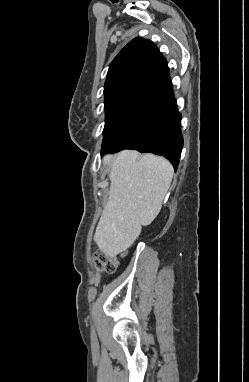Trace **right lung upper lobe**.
Returning <instances> with one entry per match:
<instances>
[{"label":"right lung upper lobe","mask_w":249,"mask_h":382,"mask_svg":"<svg viewBox=\"0 0 249 382\" xmlns=\"http://www.w3.org/2000/svg\"><path fill=\"white\" fill-rule=\"evenodd\" d=\"M171 88L168 65L161 52L152 41L135 38L109 66L104 107L128 100L153 103Z\"/></svg>","instance_id":"right-lung-upper-lobe-1"}]
</instances>
